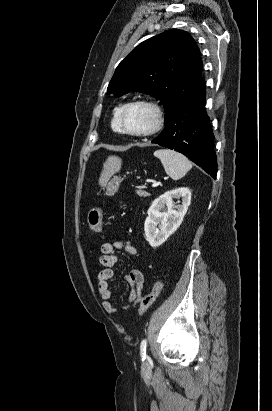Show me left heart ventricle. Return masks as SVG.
<instances>
[{"label": "left heart ventricle", "instance_id": "obj_1", "mask_svg": "<svg viewBox=\"0 0 272 411\" xmlns=\"http://www.w3.org/2000/svg\"><path fill=\"white\" fill-rule=\"evenodd\" d=\"M123 121L128 130L142 131L152 124L153 115L149 109L143 106H134L126 111Z\"/></svg>", "mask_w": 272, "mask_h": 411}]
</instances>
